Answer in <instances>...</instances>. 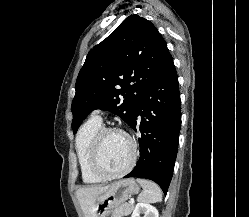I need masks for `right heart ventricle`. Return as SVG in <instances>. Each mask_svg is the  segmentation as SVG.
I'll list each match as a JSON object with an SVG mask.
<instances>
[{
    "label": "right heart ventricle",
    "mask_w": 249,
    "mask_h": 217,
    "mask_svg": "<svg viewBox=\"0 0 249 217\" xmlns=\"http://www.w3.org/2000/svg\"><path fill=\"white\" fill-rule=\"evenodd\" d=\"M101 127V121L91 117L80 127L75 140V149L82 179L88 184L103 182V179L93 173L89 164L91 143Z\"/></svg>",
    "instance_id": "1"
}]
</instances>
